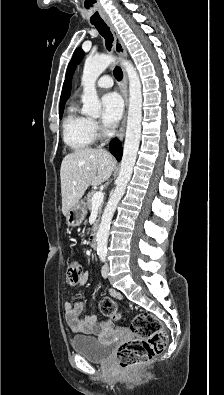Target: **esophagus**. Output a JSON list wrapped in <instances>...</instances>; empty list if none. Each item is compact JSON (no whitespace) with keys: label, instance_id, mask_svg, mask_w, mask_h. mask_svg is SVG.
<instances>
[{"label":"esophagus","instance_id":"esophagus-1","mask_svg":"<svg viewBox=\"0 0 224 395\" xmlns=\"http://www.w3.org/2000/svg\"><path fill=\"white\" fill-rule=\"evenodd\" d=\"M106 24L108 25V27L110 28L112 34H113V38H114V49L115 52L118 54V56L120 58H126L127 57V51L126 48L124 46V43L121 39V37L119 36L117 29L115 28V26L113 25L112 21L107 18L105 20ZM122 71H123V80L120 86V91L121 94L124 98V109H123V119L120 125V128L118 130V134H117V138L119 141H122L125 135V128H126V121H127V112H128V103H129V97H128V79H127V74L126 71L124 69V67H122Z\"/></svg>","mask_w":224,"mask_h":395}]
</instances>
